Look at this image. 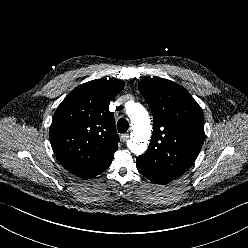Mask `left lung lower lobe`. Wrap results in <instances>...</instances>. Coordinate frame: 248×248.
<instances>
[{
	"instance_id": "obj_1",
	"label": "left lung lower lobe",
	"mask_w": 248,
	"mask_h": 248,
	"mask_svg": "<svg viewBox=\"0 0 248 248\" xmlns=\"http://www.w3.org/2000/svg\"><path fill=\"white\" fill-rule=\"evenodd\" d=\"M136 165H137V168L139 170L140 173H142L145 177H147L149 180H151L152 182H155V183H166V182H169L155 174H151L149 173L145 168H143V166L141 165V163H139L138 161H136Z\"/></svg>"
}]
</instances>
